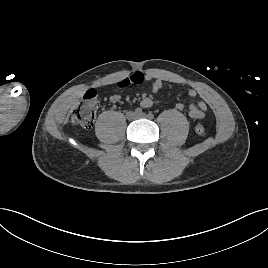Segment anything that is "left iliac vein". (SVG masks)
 <instances>
[{"mask_svg":"<svg viewBox=\"0 0 268 268\" xmlns=\"http://www.w3.org/2000/svg\"><path fill=\"white\" fill-rule=\"evenodd\" d=\"M138 118H148V115H146L145 113L139 114L137 115Z\"/></svg>","mask_w":268,"mask_h":268,"instance_id":"obj_1","label":"left iliac vein"}]
</instances>
